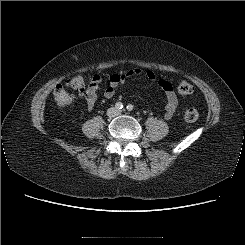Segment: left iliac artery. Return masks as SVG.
<instances>
[{
    "mask_svg": "<svg viewBox=\"0 0 245 245\" xmlns=\"http://www.w3.org/2000/svg\"><path fill=\"white\" fill-rule=\"evenodd\" d=\"M126 108H127L128 111H132L133 110V105L128 104Z\"/></svg>",
    "mask_w": 245,
    "mask_h": 245,
    "instance_id": "left-iliac-artery-1",
    "label": "left iliac artery"
}]
</instances>
